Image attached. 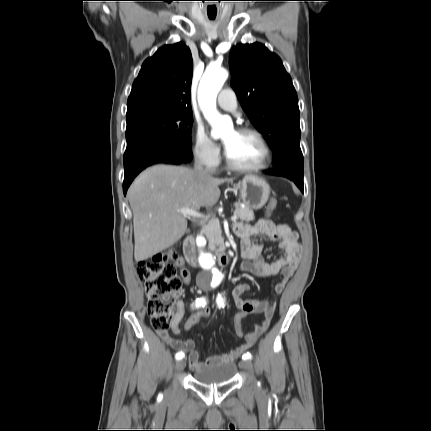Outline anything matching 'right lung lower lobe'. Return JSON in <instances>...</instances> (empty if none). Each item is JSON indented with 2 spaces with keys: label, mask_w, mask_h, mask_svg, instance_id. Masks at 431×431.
<instances>
[{
  "label": "right lung lower lobe",
  "mask_w": 431,
  "mask_h": 431,
  "mask_svg": "<svg viewBox=\"0 0 431 431\" xmlns=\"http://www.w3.org/2000/svg\"><path fill=\"white\" fill-rule=\"evenodd\" d=\"M191 147L160 135H150L127 144L124 153L123 192L146 167L156 163L182 164L191 161Z\"/></svg>",
  "instance_id": "98d812e1"
}]
</instances>
